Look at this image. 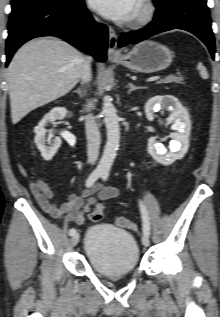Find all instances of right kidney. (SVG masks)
<instances>
[{"label": "right kidney", "mask_w": 220, "mask_h": 317, "mask_svg": "<svg viewBox=\"0 0 220 317\" xmlns=\"http://www.w3.org/2000/svg\"><path fill=\"white\" fill-rule=\"evenodd\" d=\"M67 114V110L63 107H55L49 113H47L38 125L34 128V132L36 134L34 138V142L41 152V156L44 160H51L53 156L56 154L57 150L61 146V139L56 137L51 147L47 148L44 145V139L47 130L45 129V125L47 122H53L57 119H63Z\"/></svg>", "instance_id": "obj_1"}]
</instances>
